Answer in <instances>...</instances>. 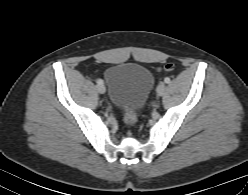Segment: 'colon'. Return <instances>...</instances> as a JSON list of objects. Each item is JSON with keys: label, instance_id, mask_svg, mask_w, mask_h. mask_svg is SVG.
I'll use <instances>...</instances> for the list:
<instances>
[{"label": "colon", "instance_id": "colon-1", "mask_svg": "<svg viewBox=\"0 0 248 195\" xmlns=\"http://www.w3.org/2000/svg\"><path fill=\"white\" fill-rule=\"evenodd\" d=\"M164 69L166 71H171L173 69L172 64H167ZM124 122L128 127H134L137 123V115L134 110L126 109L124 111Z\"/></svg>", "mask_w": 248, "mask_h": 195}]
</instances>
